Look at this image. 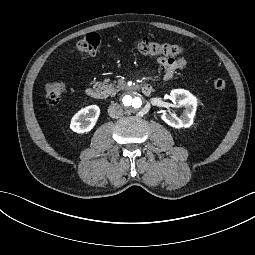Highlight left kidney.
I'll return each instance as SVG.
<instances>
[{"instance_id": "1", "label": "left kidney", "mask_w": 255, "mask_h": 255, "mask_svg": "<svg viewBox=\"0 0 255 255\" xmlns=\"http://www.w3.org/2000/svg\"><path fill=\"white\" fill-rule=\"evenodd\" d=\"M170 99L172 102H175L177 106H183L184 111L181 117L172 116L169 112L163 111L160 116L161 119L166 124L176 129L190 127L193 124V118L197 107L196 98L188 91L178 89L171 91Z\"/></svg>"}]
</instances>
